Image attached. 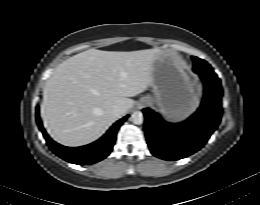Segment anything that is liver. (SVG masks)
Instances as JSON below:
<instances>
[{"label": "liver", "instance_id": "liver-1", "mask_svg": "<svg viewBox=\"0 0 260 205\" xmlns=\"http://www.w3.org/2000/svg\"><path fill=\"white\" fill-rule=\"evenodd\" d=\"M159 48L118 52L89 49L59 64L47 81L41 106L54 140L82 146L97 140L117 119L115 105L132 108L134 97L151 86ZM125 112V113H126Z\"/></svg>", "mask_w": 260, "mask_h": 205}]
</instances>
